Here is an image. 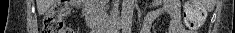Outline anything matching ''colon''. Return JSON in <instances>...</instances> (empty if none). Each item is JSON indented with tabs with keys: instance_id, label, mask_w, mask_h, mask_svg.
<instances>
[{
	"instance_id": "obj_1",
	"label": "colon",
	"mask_w": 235,
	"mask_h": 33,
	"mask_svg": "<svg viewBox=\"0 0 235 33\" xmlns=\"http://www.w3.org/2000/svg\"><path fill=\"white\" fill-rule=\"evenodd\" d=\"M68 12V2L65 0L58 1L45 16L42 33H76L73 28L67 27L63 22ZM204 18L205 10L198 0L185 2L183 20L188 29H198L202 25Z\"/></svg>"
}]
</instances>
